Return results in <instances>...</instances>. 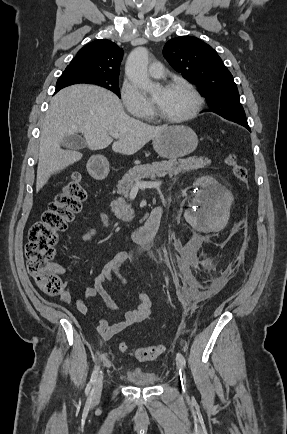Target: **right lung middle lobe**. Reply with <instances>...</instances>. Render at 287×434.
I'll return each instance as SVG.
<instances>
[{"label": "right lung middle lobe", "mask_w": 287, "mask_h": 434, "mask_svg": "<svg viewBox=\"0 0 287 434\" xmlns=\"http://www.w3.org/2000/svg\"><path fill=\"white\" fill-rule=\"evenodd\" d=\"M118 77H100L90 76L89 74L79 72L76 70L65 69L56 83V87L64 88L72 84H95L104 87L114 92L120 97V90L118 87Z\"/></svg>", "instance_id": "obj_1"}]
</instances>
